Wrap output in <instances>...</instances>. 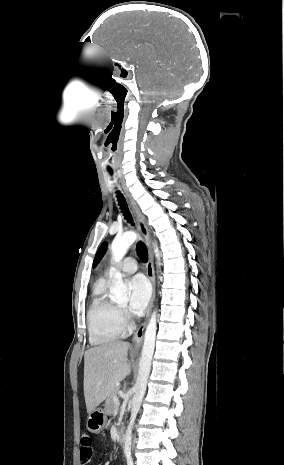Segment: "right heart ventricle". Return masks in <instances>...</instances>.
I'll return each instance as SVG.
<instances>
[{
    "label": "right heart ventricle",
    "instance_id": "1",
    "mask_svg": "<svg viewBox=\"0 0 284 465\" xmlns=\"http://www.w3.org/2000/svg\"><path fill=\"white\" fill-rule=\"evenodd\" d=\"M119 322H125L119 308L107 298L104 288L98 287L87 310L90 343L94 346H107L118 341L123 334Z\"/></svg>",
    "mask_w": 284,
    "mask_h": 465
}]
</instances>
